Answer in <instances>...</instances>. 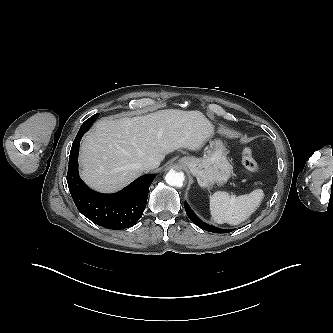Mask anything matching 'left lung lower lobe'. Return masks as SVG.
Instances as JSON below:
<instances>
[{
	"label": "left lung lower lobe",
	"instance_id": "0a47b994",
	"mask_svg": "<svg viewBox=\"0 0 333 333\" xmlns=\"http://www.w3.org/2000/svg\"><path fill=\"white\" fill-rule=\"evenodd\" d=\"M185 211L187 213V216L189 217V219L197 226H199L200 228L209 231V232H215V233H229L232 230L231 229H221V228H217L214 227L212 225L206 224L204 222H202L200 219H198L189 209V207L185 204Z\"/></svg>",
	"mask_w": 333,
	"mask_h": 333
}]
</instances>
